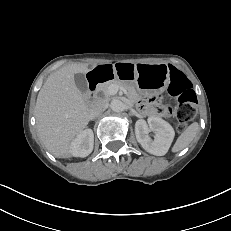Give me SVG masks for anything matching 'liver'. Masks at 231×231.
<instances>
[{
	"instance_id": "6515ba94",
	"label": "liver",
	"mask_w": 231,
	"mask_h": 231,
	"mask_svg": "<svg viewBox=\"0 0 231 231\" xmlns=\"http://www.w3.org/2000/svg\"><path fill=\"white\" fill-rule=\"evenodd\" d=\"M89 70L86 63L64 66L48 76L38 93L35 107L38 135L57 158L72 155V142L90 120L91 109L74 81L75 74Z\"/></svg>"
}]
</instances>
